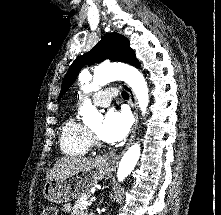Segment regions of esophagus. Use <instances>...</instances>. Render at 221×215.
<instances>
[{
  "instance_id": "34e87169",
  "label": "esophagus",
  "mask_w": 221,
  "mask_h": 215,
  "mask_svg": "<svg viewBox=\"0 0 221 215\" xmlns=\"http://www.w3.org/2000/svg\"><path fill=\"white\" fill-rule=\"evenodd\" d=\"M123 88L129 94V102H130V105L132 107L133 114H134V125L132 127V132H131V136L129 138V141L127 142L126 147L123 150V152H124L130 146L132 141L134 140L136 129H137V124H138V110H137L136 98H135V95H134V92L132 91V89L125 83L123 84ZM120 157H121L120 154L109 153V154L101 156L99 158V162L108 168H114L118 165Z\"/></svg>"
}]
</instances>
